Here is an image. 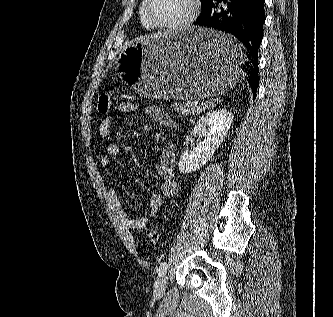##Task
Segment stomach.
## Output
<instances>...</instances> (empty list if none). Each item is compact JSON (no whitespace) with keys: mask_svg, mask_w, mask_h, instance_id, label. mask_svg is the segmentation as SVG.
<instances>
[{"mask_svg":"<svg viewBox=\"0 0 333 317\" xmlns=\"http://www.w3.org/2000/svg\"><path fill=\"white\" fill-rule=\"evenodd\" d=\"M225 29L191 27L128 44L117 59L123 81L148 99L215 97L243 82L245 45Z\"/></svg>","mask_w":333,"mask_h":317,"instance_id":"obj_1","label":"stomach"}]
</instances>
